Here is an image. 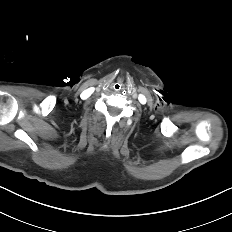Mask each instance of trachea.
<instances>
[{
  "label": "trachea",
  "instance_id": "3493384b",
  "mask_svg": "<svg viewBox=\"0 0 232 232\" xmlns=\"http://www.w3.org/2000/svg\"><path fill=\"white\" fill-rule=\"evenodd\" d=\"M112 88L116 91V92H120L123 89V85L120 82H115L112 86Z\"/></svg>",
  "mask_w": 232,
  "mask_h": 232
}]
</instances>
